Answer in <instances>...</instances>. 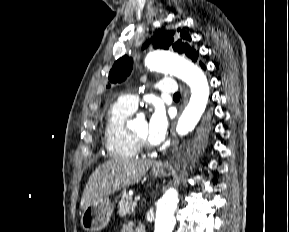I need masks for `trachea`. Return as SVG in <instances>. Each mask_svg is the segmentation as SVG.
<instances>
[{
  "mask_svg": "<svg viewBox=\"0 0 289 232\" xmlns=\"http://www.w3.org/2000/svg\"><path fill=\"white\" fill-rule=\"evenodd\" d=\"M173 98H180V93H176L173 95Z\"/></svg>",
  "mask_w": 289,
  "mask_h": 232,
  "instance_id": "obj_1",
  "label": "trachea"
}]
</instances>
